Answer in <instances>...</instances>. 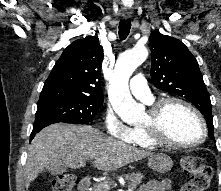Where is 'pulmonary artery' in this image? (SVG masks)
<instances>
[{
    "mask_svg": "<svg viewBox=\"0 0 221 191\" xmlns=\"http://www.w3.org/2000/svg\"><path fill=\"white\" fill-rule=\"evenodd\" d=\"M131 93L138 99L151 103L153 100L152 94L148 87V84L143 76V74L135 75L129 84Z\"/></svg>",
    "mask_w": 221,
    "mask_h": 191,
    "instance_id": "e3ab8cb5",
    "label": "pulmonary artery"
}]
</instances>
